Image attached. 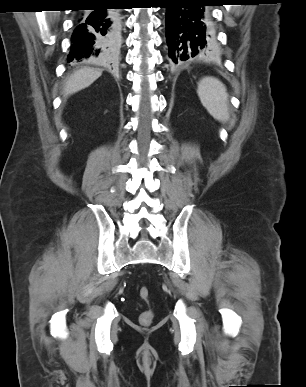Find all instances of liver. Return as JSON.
<instances>
[{
    "label": "liver",
    "mask_w": 306,
    "mask_h": 387,
    "mask_svg": "<svg viewBox=\"0 0 306 387\" xmlns=\"http://www.w3.org/2000/svg\"><path fill=\"white\" fill-rule=\"evenodd\" d=\"M101 74V69L94 68H81L74 71L66 81L64 94L68 96L89 87Z\"/></svg>",
    "instance_id": "1"
}]
</instances>
